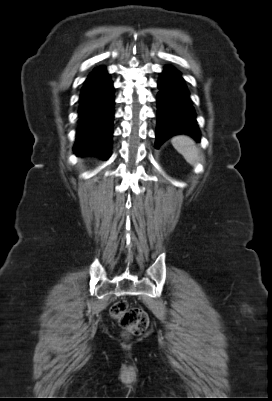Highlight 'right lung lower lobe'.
Returning <instances> with one entry per match:
<instances>
[{
	"label": "right lung lower lobe",
	"mask_w": 272,
	"mask_h": 401,
	"mask_svg": "<svg viewBox=\"0 0 272 401\" xmlns=\"http://www.w3.org/2000/svg\"><path fill=\"white\" fill-rule=\"evenodd\" d=\"M114 90L103 67L95 69L85 81L80 96V126L74 153L94 154L108 159L112 145Z\"/></svg>",
	"instance_id": "obj_1"
}]
</instances>
